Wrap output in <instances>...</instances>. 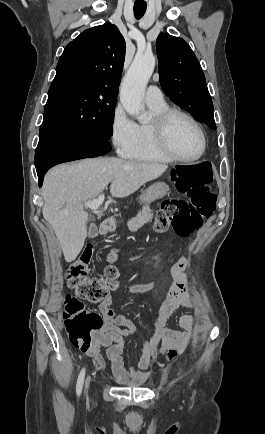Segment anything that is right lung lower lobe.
Wrapping results in <instances>:
<instances>
[{
  "label": "right lung lower lobe",
  "mask_w": 265,
  "mask_h": 434,
  "mask_svg": "<svg viewBox=\"0 0 265 434\" xmlns=\"http://www.w3.org/2000/svg\"><path fill=\"white\" fill-rule=\"evenodd\" d=\"M110 151L108 140L77 137L46 127L39 133V143L35 153L39 186H42L45 173L59 163L97 157Z\"/></svg>",
  "instance_id": "obj_1"
}]
</instances>
